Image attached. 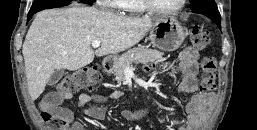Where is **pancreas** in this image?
Segmentation results:
<instances>
[{
	"instance_id": "pancreas-1",
	"label": "pancreas",
	"mask_w": 257,
	"mask_h": 130,
	"mask_svg": "<svg viewBox=\"0 0 257 130\" xmlns=\"http://www.w3.org/2000/svg\"><path fill=\"white\" fill-rule=\"evenodd\" d=\"M163 53L147 48H133L122 54L116 61L113 67L115 79L122 82L125 79V69L133 68V64H150L162 58Z\"/></svg>"
}]
</instances>
